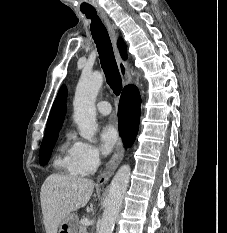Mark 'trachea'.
<instances>
[{
    "label": "trachea",
    "instance_id": "trachea-1",
    "mask_svg": "<svg viewBox=\"0 0 227 233\" xmlns=\"http://www.w3.org/2000/svg\"><path fill=\"white\" fill-rule=\"evenodd\" d=\"M88 19H91V33L96 43L102 69L106 76V81L116 96L122 90V80L115 60L112 43L109 34L97 16L96 11L83 12Z\"/></svg>",
    "mask_w": 227,
    "mask_h": 233
}]
</instances>
